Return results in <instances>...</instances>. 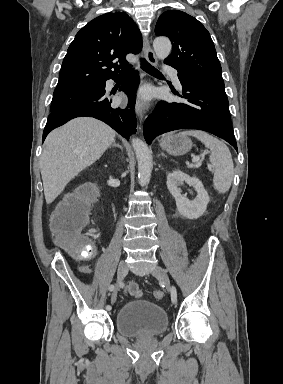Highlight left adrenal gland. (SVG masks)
Wrapping results in <instances>:
<instances>
[{
    "label": "left adrenal gland",
    "mask_w": 283,
    "mask_h": 384,
    "mask_svg": "<svg viewBox=\"0 0 283 384\" xmlns=\"http://www.w3.org/2000/svg\"><path fill=\"white\" fill-rule=\"evenodd\" d=\"M161 156H164V158H167V156H165V154H163V152H160Z\"/></svg>",
    "instance_id": "a2214340"
}]
</instances>
